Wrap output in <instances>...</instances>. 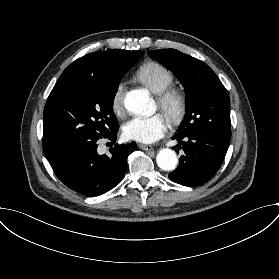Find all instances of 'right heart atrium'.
Segmentation results:
<instances>
[{
  "label": "right heart atrium",
  "mask_w": 279,
  "mask_h": 279,
  "mask_svg": "<svg viewBox=\"0 0 279 279\" xmlns=\"http://www.w3.org/2000/svg\"><path fill=\"white\" fill-rule=\"evenodd\" d=\"M125 83L120 82L114 89L111 100H110V107L114 115L120 117L123 113V104L122 98L124 94Z\"/></svg>",
  "instance_id": "d8ad5b80"
}]
</instances>
